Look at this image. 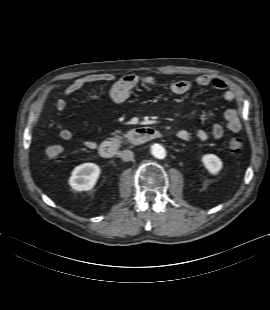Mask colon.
<instances>
[{
    "instance_id": "1",
    "label": "colon",
    "mask_w": 270,
    "mask_h": 310,
    "mask_svg": "<svg viewBox=\"0 0 270 310\" xmlns=\"http://www.w3.org/2000/svg\"><path fill=\"white\" fill-rule=\"evenodd\" d=\"M229 149L232 152H240L242 149V141L239 138L233 137L229 140ZM63 153H64V149L62 146L60 145H50L49 147H47L46 149V157L50 160V161H59L61 160V158L63 157Z\"/></svg>"
}]
</instances>
